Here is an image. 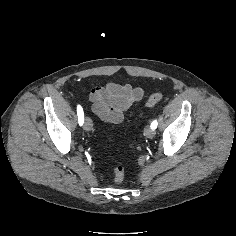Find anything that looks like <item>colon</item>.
<instances>
[{
  "label": "colon",
  "instance_id": "5ec220e1",
  "mask_svg": "<svg viewBox=\"0 0 236 236\" xmlns=\"http://www.w3.org/2000/svg\"><path fill=\"white\" fill-rule=\"evenodd\" d=\"M162 100L161 93H153L146 101L145 105L147 107H152L158 104ZM131 148H139V145L134 143L130 145ZM124 179V169L121 166H117L114 168V181L116 183H121Z\"/></svg>",
  "mask_w": 236,
  "mask_h": 236
}]
</instances>
